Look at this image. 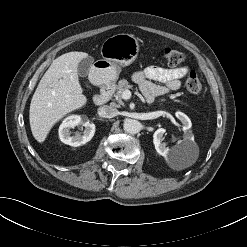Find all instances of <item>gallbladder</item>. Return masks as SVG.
Here are the masks:
<instances>
[{
    "mask_svg": "<svg viewBox=\"0 0 247 247\" xmlns=\"http://www.w3.org/2000/svg\"><path fill=\"white\" fill-rule=\"evenodd\" d=\"M94 59L91 56H88L86 58H84L83 60H81L78 64V74L81 77H85L89 74L92 65H93ZM88 88H90L89 85H87Z\"/></svg>",
    "mask_w": 247,
    "mask_h": 247,
    "instance_id": "obj_1",
    "label": "gallbladder"
}]
</instances>
